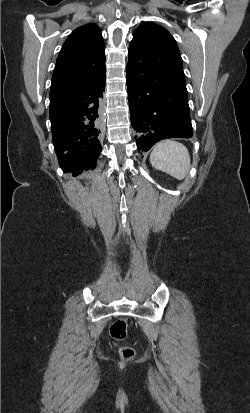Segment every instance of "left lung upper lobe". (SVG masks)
Segmentation results:
<instances>
[{"label":"left lung upper lobe","instance_id":"obj_1","mask_svg":"<svg viewBox=\"0 0 250 413\" xmlns=\"http://www.w3.org/2000/svg\"><path fill=\"white\" fill-rule=\"evenodd\" d=\"M146 39L155 43L161 53L172 58V63H174L178 71L183 74L182 59L177 43L166 29L154 23H144L134 31L130 45L143 42Z\"/></svg>","mask_w":250,"mask_h":413}]
</instances>
